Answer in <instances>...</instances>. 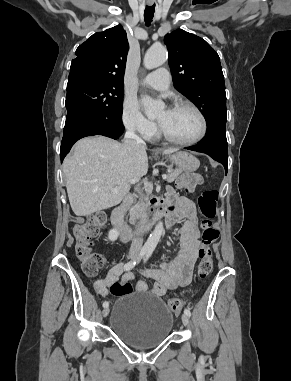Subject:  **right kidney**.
Wrapping results in <instances>:
<instances>
[{"label": "right kidney", "instance_id": "obj_1", "mask_svg": "<svg viewBox=\"0 0 291 381\" xmlns=\"http://www.w3.org/2000/svg\"><path fill=\"white\" fill-rule=\"evenodd\" d=\"M118 235H119L118 231L116 229H112L109 231L108 239L110 241H115V240H117Z\"/></svg>", "mask_w": 291, "mask_h": 381}]
</instances>
